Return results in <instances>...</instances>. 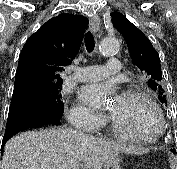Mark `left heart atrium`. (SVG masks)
Wrapping results in <instances>:
<instances>
[{
    "label": "left heart atrium",
    "mask_w": 177,
    "mask_h": 169,
    "mask_svg": "<svg viewBox=\"0 0 177 169\" xmlns=\"http://www.w3.org/2000/svg\"><path fill=\"white\" fill-rule=\"evenodd\" d=\"M112 100L111 104H107V99ZM118 98L116 88L113 83H94L82 87L79 91V99L82 103L95 110H103Z\"/></svg>",
    "instance_id": "left-heart-atrium-1"
}]
</instances>
